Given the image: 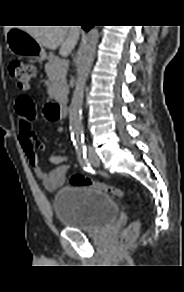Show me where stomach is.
I'll return each mask as SVG.
<instances>
[{
	"label": "stomach",
	"mask_w": 184,
	"mask_h": 292,
	"mask_svg": "<svg viewBox=\"0 0 184 292\" xmlns=\"http://www.w3.org/2000/svg\"><path fill=\"white\" fill-rule=\"evenodd\" d=\"M7 47L14 55L29 56L31 58L43 61L46 58V52L29 33L20 29L13 28L6 34Z\"/></svg>",
	"instance_id": "stomach-1"
}]
</instances>
